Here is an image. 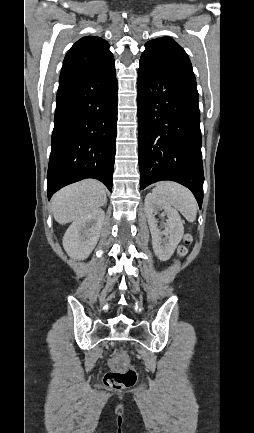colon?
I'll return each mask as SVG.
<instances>
[{
	"label": "colon",
	"mask_w": 254,
	"mask_h": 433,
	"mask_svg": "<svg viewBox=\"0 0 254 433\" xmlns=\"http://www.w3.org/2000/svg\"><path fill=\"white\" fill-rule=\"evenodd\" d=\"M192 242L191 235H186L184 244L178 249L180 256H185L188 252V246ZM111 371L104 377V382L114 389H128L135 385L137 381L136 370L129 365L124 355L112 360Z\"/></svg>",
	"instance_id": "colon-1"
}]
</instances>
